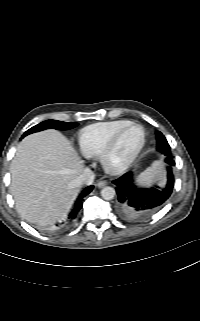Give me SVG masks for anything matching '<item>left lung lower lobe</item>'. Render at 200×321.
<instances>
[{
    "label": "left lung lower lobe",
    "mask_w": 200,
    "mask_h": 321,
    "mask_svg": "<svg viewBox=\"0 0 200 321\" xmlns=\"http://www.w3.org/2000/svg\"><path fill=\"white\" fill-rule=\"evenodd\" d=\"M164 156L168 167L167 183L163 187L140 188L135 185L132 172L113 181L116 185L118 211L124 220L129 222L145 221L159 210L170 197L174 186L172 167L175 165V161L170 149L166 150Z\"/></svg>",
    "instance_id": "0a47b994"
}]
</instances>
